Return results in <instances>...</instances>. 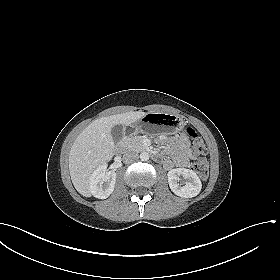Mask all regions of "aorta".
Masks as SVG:
<instances>
[{"mask_svg": "<svg viewBox=\"0 0 280 280\" xmlns=\"http://www.w3.org/2000/svg\"><path fill=\"white\" fill-rule=\"evenodd\" d=\"M140 160L141 161H148L149 160V154L147 152H142L140 154Z\"/></svg>", "mask_w": 280, "mask_h": 280, "instance_id": "obj_1", "label": "aorta"}]
</instances>
